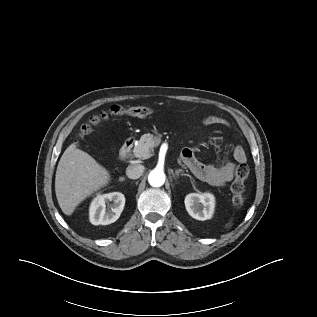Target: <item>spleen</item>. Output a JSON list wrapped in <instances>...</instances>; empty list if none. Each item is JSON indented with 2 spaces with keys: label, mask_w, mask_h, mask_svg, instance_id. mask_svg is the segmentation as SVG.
<instances>
[{
  "label": "spleen",
  "mask_w": 317,
  "mask_h": 317,
  "mask_svg": "<svg viewBox=\"0 0 317 317\" xmlns=\"http://www.w3.org/2000/svg\"><path fill=\"white\" fill-rule=\"evenodd\" d=\"M229 226H231V223H229V224L227 225V227H229Z\"/></svg>",
  "instance_id": "1"
}]
</instances>
